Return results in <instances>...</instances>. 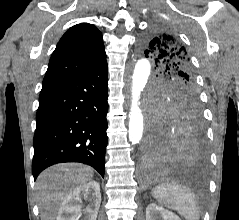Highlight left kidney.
I'll return each mask as SVG.
<instances>
[{
	"instance_id": "obj_1",
	"label": "left kidney",
	"mask_w": 239,
	"mask_h": 220,
	"mask_svg": "<svg viewBox=\"0 0 239 220\" xmlns=\"http://www.w3.org/2000/svg\"><path fill=\"white\" fill-rule=\"evenodd\" d=\"M181 220L176 214L155 203H151L146 208V220Z\"/></svg>"
}]
</instances>
